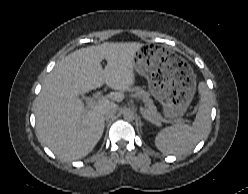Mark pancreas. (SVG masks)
<instances>
[{
  "label": "pancreas",
  "mask_w": 248,
  "mask_h": 194,
  "mask_svg": "<svg viewBox=\"0 0 248 194\" xmlns=\"http://www.w3.org/2000/svg\"><path fill=\"white\" fill-rule=\"evenodd\" d=\"M132 91L134 92L133 96L137 97L144 103L143 111L145 114L158 122L163 120L161 115L157 112L156 106L151 100L148 92L140 87H135L132 89Z\"/></svg>",
  "instance_id": "obj_1"
}]
</instances>
